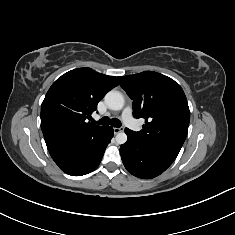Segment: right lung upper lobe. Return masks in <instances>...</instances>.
Returning <instances> with one entry per match:
<instances>
[{
  "label": "right lung upper lobe",
  "mask_w": 235,
  "mask_h": 235,
  "mask_svg": "<svg viewBox=\"0 0 235 235\" xmlns=\"http://www.w3.org/2000/svg\"><path fill=\"white\" fill-rule=\"evenodd\" d=\"M115 76L78 68L59 77L41 105V128L49 152L92 136L105 127L88 122L98 102L117 86Z\"/></svg>",
  "instance_id": "1"
}]
</instances>
